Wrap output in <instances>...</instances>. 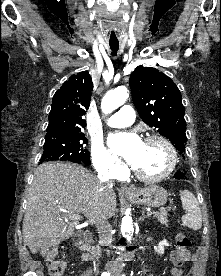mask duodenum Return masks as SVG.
I'll return each mask as SVG.
<instances>
[{
  "label": "duodenum",
  "mask_w": 221,
  "mask_h": 276,
  "mask_svg": "<svg viewBox=\"0 0 221 276\" xmlns=\"http://www.w3.org/2000/svg\"><path fill=\"white\" fill-rule=\"evenodd\" d=\"M79 247L83 251H85V254L89 256L90 259L92 258L93 255L100 256L101 254V250L98 247L93 246L91 244V235L89 233H86L85 236L80 240Z\"/></svg>",
  "instance_id": "obj_1"
}]
</instances>
